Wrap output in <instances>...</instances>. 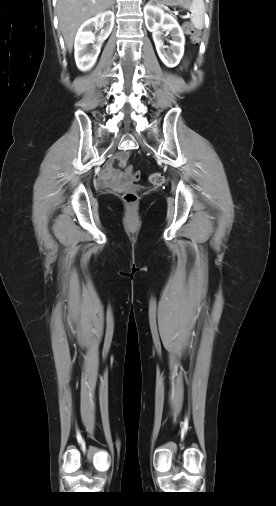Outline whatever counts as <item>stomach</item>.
<instances>
[{
  "mask_svg": "<svg viewBox=\"0 0 276 506\" xmlns=\"http://www.w3.org/2000/svg\"><path fill=\"white\" fill-rule=\"evenodd\" d=\"M158 5L163 6H187L190 3V0H153Z\"/></svg>",
  "mask_w": 276,
  "mask_h": 506,
  "instance_id": "obj_1",
  "label": "stomach"
}]
</instances>
